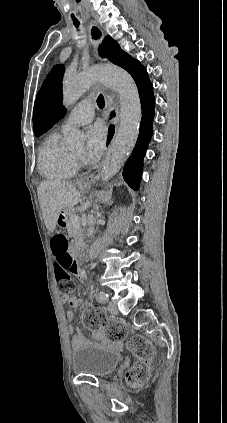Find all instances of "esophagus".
<instances>
[{
    "label": "esophagus",
    "instance_id": "1",
    "mask_svg": "<svg viewBox=\"0 0 227 423\" xmlns=\"http://www.w3.org/2000/svg\"><path fill=\"white\" fill-rule=\"evenodd\" d=\"M88 36H89V41H90V43L93 47V50H94V52L97 56L99 47H100V45L103 41V38H104L103 30L99 27L98 24L91 22L89 24V27H88ZM109 110H111V111L115 110V105L113 103H111L109 105ZM108 133L109 134L107 135L105 141L102 143V146L106 149V151L108 150V148L111 147L112 143L114 142V138H115L114 136L117 133L115 124L109 125V132ZM100 174H101V167L98 168L91 175L84 178V180H82V181H84L86 183H94L97 180H99Z\"/></svg>",
    "mask_w": 227,
    "mask_h": 423
}]
</instances>
